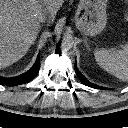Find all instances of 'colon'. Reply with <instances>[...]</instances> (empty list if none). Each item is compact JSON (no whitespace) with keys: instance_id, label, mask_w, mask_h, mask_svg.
<instances>
[{"instance_id":"obj_1","label":"colon","mask_w":128,"mask_h":128,"mask_svg":"<svg viewBox=\"0 0 128 128\" xmlns=\"http://www.w3.org/2000/svg\"><path fill=\"white\" fill-rule=\"evenodd\" d=\"M125 2H126V9L124 12V19H125V21L128 22V0H125Z\"/></svg>"}]
</instances>
